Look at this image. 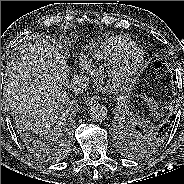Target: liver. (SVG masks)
Here are the masks:
<instances>
[{
	"mask_svg": "<svg viewBox=\"0 0 184 184\" xmlns=\"http://www.w3.org/2000/svg\"><path fill=\"white\" fill-rule=\"evenodd\" d=\"M4 94L13 112L38 133H47L68 99L67 72L47 39L26 41L7 64Z\"/></svg>",
	"mask_w": 184,
	"mask_h": 184,
	"instance_id": "liver-1",
	"label": "liver"
}]
</instances>
